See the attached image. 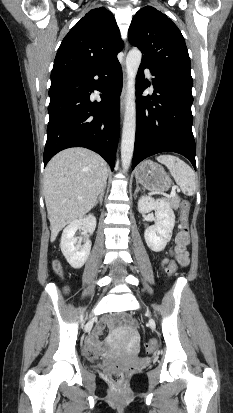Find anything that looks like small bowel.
<instances>
[{"label": "small bowel", "mask_w": 233, "mask_h": 413, "mask_svg": "<svg viewBox=\"0 0 233 413\" xmlns=\"http://www.w3.org/2000/svg\"><path fill=\"white\" fill-rule=\"evenodd\" d=\"M189 238L183 236L180 232L177 233L175 237V246L169 251V256L174 257L176 261L181 266H186L189 262V255L186 251ZM169 261L168 257L163 258L161 266L165 267ZM124 321L129 322L130 317L128 315L124 316ZM117 322L116 317L109 316L104 318L100 324L97 326L95 333L88 340V352L90 356H95L97 354H106L107 351L102 347L99 336L105 328L113 327ZM131 347L134 348V342L131 344Z\"/></svg>", "instance_id": "obj_1"}]
</instances>
